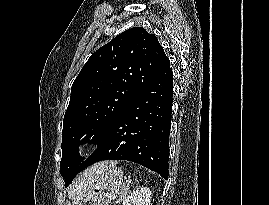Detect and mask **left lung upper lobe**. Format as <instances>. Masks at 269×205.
<instances>
[{
    "instance_id": "obj_1",
    "label": "left lung upper lobe",
    "mask_w": 269,
    "mask_h": 205,
    "mask_svg": "<svg viewBox=\"0 0 269 205\" xmlns=\"http://www.w3.org/2000/svg\"><path fill=\"white\" fill-rule=\"evenodd\" d=\"M167 62L156 36L141 27L122 32L90 56L72 85L64 115L60 174L66 187L84 160L79 142L98 143Z\"/></svg>"
}]
</instances>
